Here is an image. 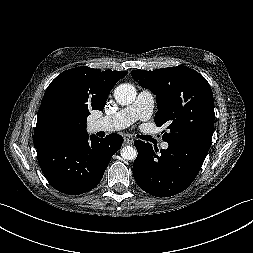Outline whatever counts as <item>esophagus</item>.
I'll list each match as a JSON object with an SVG mask.
<instances>
[{"label":"esophagus","instance_id":"1","mask_svg":"<svg viewBox=\"0 0 253 253\" xmlns=\"http://www.w3.org/2000/svg\"><path fill=\"white\" fill-rule=\"evenodd\" d=\"M133 139L125 137L124 138V145H132L133 144Z\"/></svg>","mask_w":253,"mask_h":253}]
</instances>
